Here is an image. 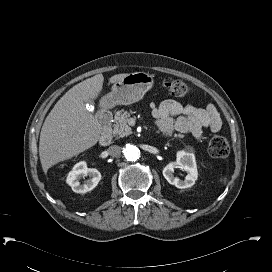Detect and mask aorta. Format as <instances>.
<instances>
[{
  "label": "aorta",
  "mask_w": 272,
  "mask_h": 272,
  "mask_svg": "<svg viewBox=\"0 0 272 272\" xmlns=\"http://www.w3.org/2000/svg\"><path fill=\"white\" fill-rule=\"evenodd\" d=\"M124 156L128 161H136L140 157V150L137 146L127 144L123 150Z\"/></svg>",
  "instance_id": "aorta-1"
}]
</instances>
